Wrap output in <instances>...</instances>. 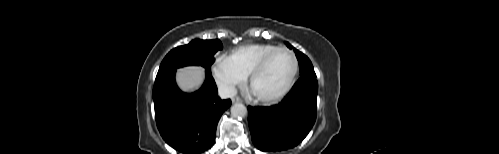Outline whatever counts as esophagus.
<instances>
[{
	"label": "esophagus",
	"instance_id": "34e87169",
	"mask_svg": "<svg viewBox=\"0 0 499 154\" xmlns=\"http://www.w3.org/2000/svg\"><path fill=\"white\" fill-rule=\"evenodd\" d=\"M238 102H241V99L239 97L232 98V103H238Z\"/></svg>",
	"mask_w": 499,
	"mask_h": 154
}]
</instances>
